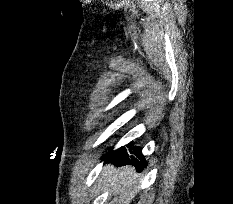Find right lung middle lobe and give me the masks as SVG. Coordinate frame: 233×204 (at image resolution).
Segmentation results:
<instances>
[{
	"label": "right lung middle lobe",
	"instance_id": "right-lung-middle-lobe-1",
	"mask_svg": "<svg viewBox=\"0 0 233 204\" xmlns=\"http://www.w3.org/2000/svg\"><path fill=\"white\" fill-rule=\"evenodd\" d=\"M130 146H133V144H132V143H129V144L127 145V147H130ZM118 150H125V151H126V148H125V147H121V148L118 149Z\"/></svg>",
	"mask_w": 233,
	"mask_h": 204
}]
</instances>
